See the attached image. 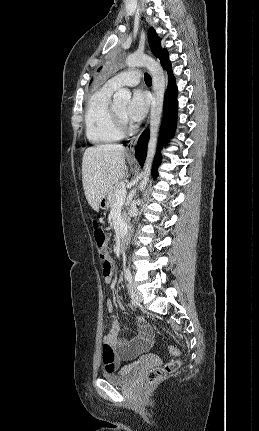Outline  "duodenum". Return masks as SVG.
<instances>
[{"label":"duodenum","mask_w":259,"mask_h":431,"mask_svg":"<svg viewBox=\"0 0 259 431\" xmlns=\"http://www.w3.org/2000/svg\"><path fill=\"white\" fill-rule=\"evenodd\" d=\"M125 234H126L125 230L124 229H120V240H119V243H118V249L120 251H122V250L125 249V244H124V236H125Z\"/></svg>","instance_id":"obj_1"}]
</instances>
